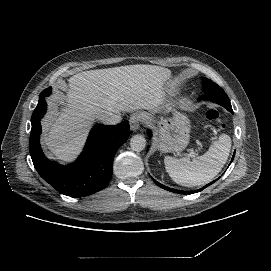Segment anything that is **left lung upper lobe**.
<instances>
[{
    "label": "left lung upper lobe",
    "mask_w": 271,
    "mask_h": 271,
    "mask_svg": "<svg viewBox=\"0 0 271 271\" xmlns=\"http://www.w3.org/2000/svg\"><path fill=\"white\" fill-rule=\"evenodd\" d=\"M202 84L204 95L200 99L210 100L223 106L228 111L232 110L228 96L221 87L207 78H202Z\"/></svg>",
    "instance_id": "1"
}]
</instances>
